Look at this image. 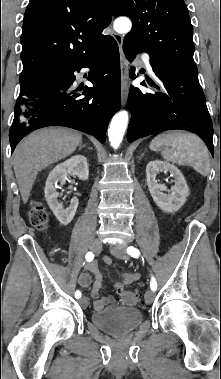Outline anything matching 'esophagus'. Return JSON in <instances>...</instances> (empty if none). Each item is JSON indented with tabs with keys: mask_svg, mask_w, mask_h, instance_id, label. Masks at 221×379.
Masks as SVG:
<instances>
[{
	"mask_svg": "<svg viewBox=\"0 0 221 379\" xmlns=\"http://www.w3.org/2000/svg\"><path fill=\"white\" fill-rule=\"evenodd\" d=\"M111 35L116 40L120 53V62H121V102L122 106H125L127 103L129 86H128V63L123 52V37L114 31L111 32Z\"/></svg>",
	"mask_w": 221,
	"mask_h": 379,
	"instance_id": "esophagus-1",
	"label": "esophagus"
}]
</instances>
